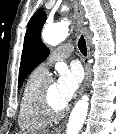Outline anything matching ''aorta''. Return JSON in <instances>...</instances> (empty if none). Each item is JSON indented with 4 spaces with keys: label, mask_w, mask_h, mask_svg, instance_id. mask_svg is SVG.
Here are the masks:
<instances>
[{
    "label": "aorta",
    "mask_w": 116,
    "mask_h": 134,
    "mask_svg": "<svg viewBox=\"0 0 116 134\" xmlns=\"http://www.w3.org/2000/svg\"><path fill=\"white\" fill-rule=\"evenodd\" d=\"M69 35V23L62 21L47 25L42 33L43 41L49 45H57ZM89 98L83 96L74 106L67 124L66 134H78L86 119L89 109Z\"/></svg>",
    "instance_id": "762f6f07"
}]
</instances>
